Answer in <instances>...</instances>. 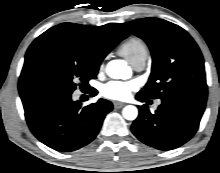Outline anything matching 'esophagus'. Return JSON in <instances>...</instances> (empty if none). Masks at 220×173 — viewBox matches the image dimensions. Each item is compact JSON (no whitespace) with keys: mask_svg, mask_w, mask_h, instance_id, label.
Instances as JSON below:
<instances>
[{"mask_svg":"<svg viewBox=\"0 0 220 173\" xmlns=\"http://www.w3.org/2000/svg\"><path fill=\"white\" fill-rule=\"evenodd\" d=\"M113 105H114V108H115V109H120V108H122L125 104L122 103V102L115 101V102L113 103Z\"/></svg>","mask_w":220,"mask_h":173,"instance_id":"obj_1","label":"esophagus"}]
</instances>
